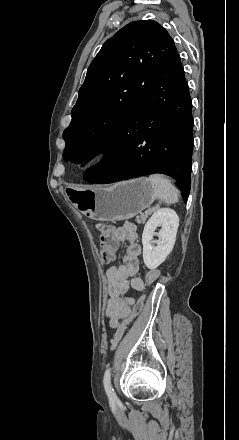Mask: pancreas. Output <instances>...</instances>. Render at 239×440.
Listing matches in <instances>:
<instances>
[{
	"mask_svg": "<svg viewBox=\"0 0 239 440\" xmlns=\"http://www.w3.org/2000/svg\"><path fill=\"white\" fill-rule=\"evenodd\" d=\"M153 210H147L146 214H141V216H136L135 218V222H137V224H145L148 216H151Z\"/></svg>",
	"mask_w": 239,
	"mask_h": 440,
	"instance_id": "cf45deb5",
	"label": "pancreas"
}]
</instances>
